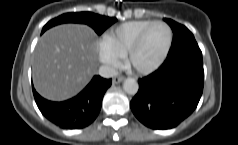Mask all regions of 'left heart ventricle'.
I'll use <instances>...</instances> for the list:
<instances>
[{"instance_id": "1", "label": "left heart ventricle", "mask_w": 238, "mask_h": 145, "mask_svg": "<svg viewBox=\"0 0 238 145\" xmlns=\"http://www.w3.org/2000/svg\"><path fill=\"white\" fill-rule=\"evenodd\" d=\"M168 41V31L162 25L153 26L146 34L131 63L135 67H146L154 63L164 51Z\"/></svg>"}]
</instances>
